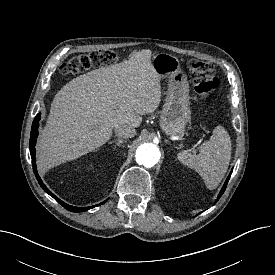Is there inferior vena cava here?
I'll return each mask as SVG.
<instances>
[{
  "instance_id": "602c4592",
  "label": "inferior vena cava",
  "mask_w": 275,
  "mask_h": 275,
  "mask_svg": "<svg viewBox=\"0 0 275 275\" xmlns=\"http://www.w3.org/2000/svg\"><path fill=\"white\" fill-rule=\"evenodd\" d=\"M116 136L120 138H132L136 135V129L130 125H117L114 128Z\"/></svg>"
}]
</instances>
